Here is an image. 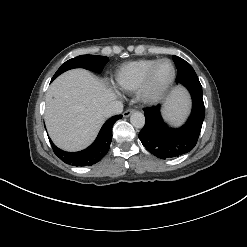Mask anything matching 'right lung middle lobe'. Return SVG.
Here are the masks:
<instances>
[{
	"label": "right lung middle lobe",
	"mask_w": 247,
	"mask_h": 247,
	"mask_svg": "<svg viewBox=\"0 0 247 247\" xmlns=\"http://www.w3.org/2000/svg\"><path fill=\"white\" fill-rule=\"evenodd\" d=\"M108 57L106 56H98V55H81L77 56L73 59L66 61L54 74L52 79H55L61 73L73 69V68H84L89 69L91 71L100 73L108 62Z\"/></svg>",
	"instance_id": "obj_1"
}]
</instances>
